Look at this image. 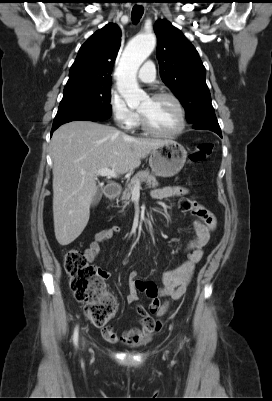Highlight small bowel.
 <instances>
[{
    "label": "small bowel",
    "mask_w": 272,
    "mask_h": 401,
    "mask_svg": "<svg viewBox=\"0 0 272 401\" xmlns=\"http://www.w3.org/2000/svg\"><path fill=\"white\" fill-rule=\"evenodd\" d=\"M188 190L181 186H167L153 190L152 195L155 198L163 199L170 197H179V209L182 212H189L193 217V228L195 235L187 246L188 256L184 262L175 269L168 270L162 278V285L157 286L153 282H143L137 278V272L132 271L128 276V294L126 300L128 303L138 301L139 292H146L151 298L149 308H153L156 316H161L167 309V303H161V298L169 297L172 300L180 299L186 292L196 264L203 257V247L210 239L211 233L216 228V218L211 211L203 205L186 197ZM121 232L120 226H112L98 231L89 246L85 250V256L89 262H93L101 249L102 243L112 239ZM104 278L109 277L106 271L101 272ZM141 326L139 328L116 333L110 330L105 336L108 340L116 342L123 340L130 345H137L147 342L152 334L157 332L160 324L149 315L147 320L145 316L138 314Z\"/></svg>",
    "instance_id": "1"
}]
</instances>
